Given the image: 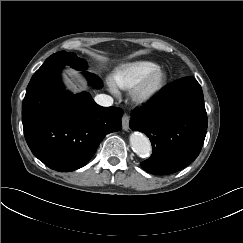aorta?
Segmentation results:
<instances>
[{
  "label": "aorta",
  "instance_id": "obj_1",
  "mask_svg": "<svg viewBox=\"0 0 243 243\" xmlns=\"http://www.w3.org/2000/svg\"><path fill=\"white\" fill-rule=\"evenodd\" d=\"M130 144L133 151L140 157H147L151 152L149 139L142 133L134 132L130 135Z\"/></svg>",
  "mask_w": 243,
  "mask_h": 243
}]
</instances>
